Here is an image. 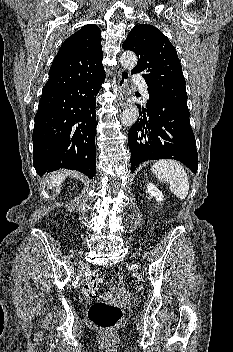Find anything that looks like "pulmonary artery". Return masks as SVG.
I'll return each instance as SVG.
<instances>
[{
  "instance_id": "pulmonary-artery-1",
  "label": "pulmonary artery",
  "mask_w": 233,
  "mask_h": 352,
  "mask_svg": "<svg viewBox=\"0 0 233 352\" xmlns=\"http://www.w3.org/2000/svg\"><path fill=\"white\" fill-rule=\"evenodd\" d=\"M133 81H134L135 83H138V84L141 85V87H142V93H143L144 97L147 98V97H148V90H147V86H146L145 81H144V79L142 78V76H141L140 74H135V75L133 76Z\"/></svg>"
}]
</instances>
